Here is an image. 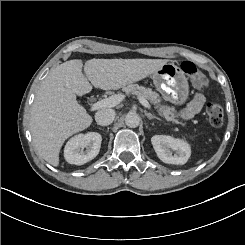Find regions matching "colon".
<instances>
[{"label": "colon", "instance_id": "1", "mask_svg": "<svg viewBox=\"0 0 245 245\" xmlns=\"http://www.w3.org/2000/svg\"><path fill=\"white\" fill-rule=\"evenodd\" d=\"M181 69L189 77L190 81L195 87L203 89L207 86L208 81L206 75L194 63L184 61L181 64ZM206 114L212 126L219 127L223 124L224 113L219 103H209L206 108Z\"/></svg>", "mask_w": 245, "mask_h": 245}]
</instances>
